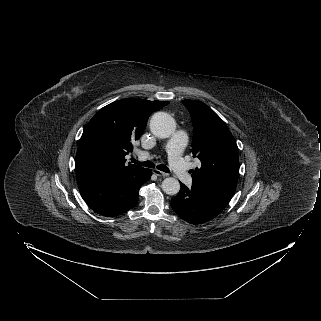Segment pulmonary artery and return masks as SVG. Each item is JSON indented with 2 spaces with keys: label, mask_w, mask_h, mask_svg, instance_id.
I'll list each match as a JSON object with an SVG mask.
<instances>
[{
  "label": "pulmonary artery",
  "mask_w": 321,
  "mask_h": 321,
  "mask_svg": "<svg viewBox=\"0 0 321 321\" xmlns=\"http://www.w3.org/2000/svg\"><path fill=\"white\" fill-rule=\"evenodd\" d=\"M187 142V136L182 131H177L168 140L166 145V151L168 153L169 165L176 175V177L184 184L190 186L192 184V177L188 171V167L184 159L182 158V152ZM139 157L146 159L150 157L148 152H140Z\"/></svg>",
  "instance_id": "pulmonary-artery-1"
}]
</instances>
